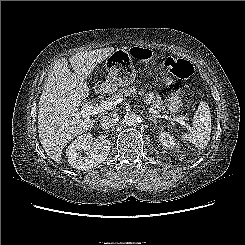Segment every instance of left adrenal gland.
<instances>
[{"mask_svg": "<svg viewBox=\"0 0 245 245\" xmlns=\"http://www.w3.org/2000/svg\"><path fill=\"white\" fill-rule=\"evenodd\" d=\"M146 118L150 119L154 123H157V120L151 115L147 116Z\"/></svg>", "mask_w": 245, "mask_h": 245, "instance_id": "1", "label": "left adrenal gland"}]
</instances>
